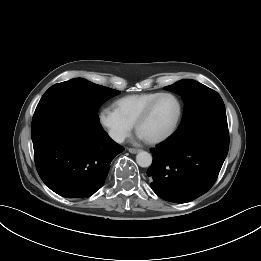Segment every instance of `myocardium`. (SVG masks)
<instances>
[{"label": "myocardium", "instance_id": "1", "mask_svg": "<svg viewBox=\"0 0 261 261\" xmlns=\"http://www.w3.org/2000/svg\"><path fill=\"white\" fill-rule=\"evenodd\" d=\"M163 97H171L173 98L176 103H177V114L176 117L172 123V125L169 127V129L167 131H165L163 134L151 138V139H146V141L150 144H158L161 143L165 140H167L168 138H170L174 132L176 131L180 120H181V116H182V104L181 101L179 100V98L174 95L173 93L170 92H163L160 93L159 95H157L154 99H152L147 106L143 109V111L139 114V116L137 117L135 123H134V128L135 131L138 132L139 127L141 126V124L146 121V119L149 117V115L151 114L154 106L156 105V103Z\"/></svg>", "mask_w": 261, "mask_h": 261}]
</instances>
